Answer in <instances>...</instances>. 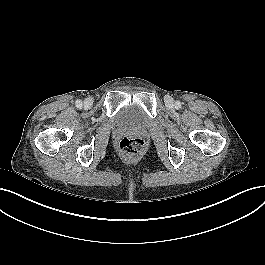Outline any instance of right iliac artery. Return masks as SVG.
<instances>
[{
    "label": "right iliac artery",
    "instance_id": "82829eb1",
    "mask_svg": "<svg viewBox=\"0 0 265 265\" xmlns=\"http://www.w3.org/2000/svg\"><path fill=\"white\" fill-rule=\"evenodd\" d=\"M75 104H76V106H77L78 108H81V107H82V102H81V100H76Z\"/></svg>",
    "mask_w": 265,
    "mask_h": 265
}]
</instances>
